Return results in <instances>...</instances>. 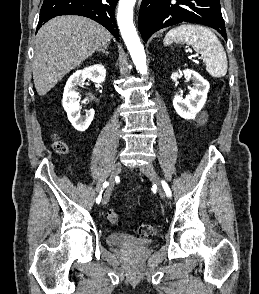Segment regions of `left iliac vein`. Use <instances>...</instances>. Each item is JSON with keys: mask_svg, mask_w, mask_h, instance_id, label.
<instances>
[{"mask_svg": "<svg viewBox=\"0 0 259 294\" xmlns=\"http://www.w3.org/2000/svg\"><path fill=\"white\" fill-rule=\"evenodd\" d=\"M140 171L148 178H150L151 180H153L157 187H158V193L160 195V197L162 199L165 198V190L162 186V182H161V179L160 177L158 176V174L156 173L154 167L151 165V164H147L145 166H142L140 168Z\"/></svg>", "mask_w": 259, "mask_h": 294, "instance_id": "1", "label": "left iliac vein"}]
</instances>
